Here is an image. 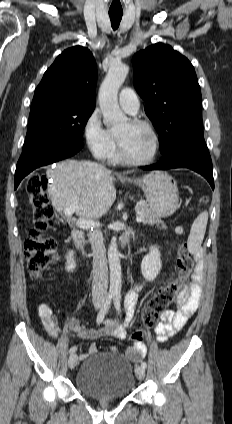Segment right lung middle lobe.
<instances>
[{
	"instance_id": "right-lung-middle-lobe-1",
	"label": "right lung middle lobe",
	"mask_w": 232,
	"mask_h": 424,
	"mask_svg": "<svg viewBox=\"0 0 232 424\" xmlns=\"http://www.w3.org/2000/svg\"><path fill=\"white\" fill-rule=\"evenodd\" d=\"M93 110L63 104L31 108L24 146L37 139L81 141L83 129Z\"/></svg>"
}]
</instances>
